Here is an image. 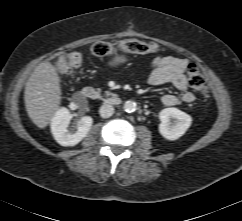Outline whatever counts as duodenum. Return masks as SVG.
<instances>
[{
  "label": "duodenum",
  "instance_id": "duodenum-1",
  "mask_svg": "<svg viewBox=\"0 0 242 221\" xmlns=\"http://www.w3.org/2000/svg\"><path fill=\"white\" fill-rule=\"evenodd\" d=\"M81 95L86 99L93 100V101H104L110 105H118L120 104L121 100L118 96L110 95V96H103L98 90L94 87L87 86L81 89Z\"/></svg>",
  "mask_w": 242,
  "mask_h": 221
}]
</instances>
